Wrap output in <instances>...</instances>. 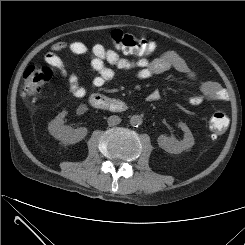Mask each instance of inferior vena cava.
Instances as JSON below:
<instances>
[{
    "label": "inferior vena cava",
    "mask_w": 245,
    "mask_h": 245,
    "mask_svg": "<svg viewBox=\"0 0 245 245\" xmlns=\"http://www.w3.org/2000/svg\"><path fill=\"white\" fill-rule=\"evenodd\" d=\"M121 122V118L117 115H112L108 117L107 123L109 126H115Z\"/></svg>",
    "instance_id": "602c4592"
}]
</instances>
